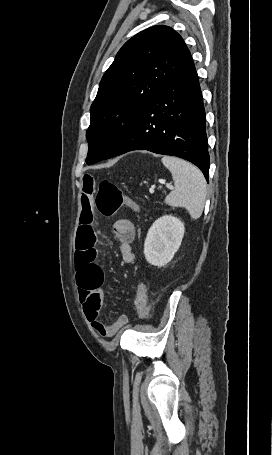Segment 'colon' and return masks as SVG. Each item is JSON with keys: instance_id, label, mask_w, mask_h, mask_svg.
Segmentation results:
<instances>
[{"instance_id": "obj_1", "label": "colon", "mask_w": 272, "mask_h": 455, "mask_svg": "<svg viewBox=\"0 0 272 455\" xmlns=\"http://www.w3.org/2000/svg\"><path fill=\"white\" fill-rule=\"evenodd\" d=\"M95 204L98 211L106 217L114 216L122 206L131 210L137 209L135 203L126 197L116 184L107 179L98 184ZM135 306L140 317H145L149 313L148 289L144 281L138 285Z\"/></svg>"}]
</instances>
